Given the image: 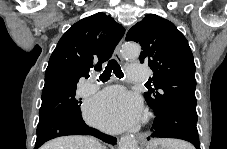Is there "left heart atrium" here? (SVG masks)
Instances as JSON below:
<instances>
[{
  "instance_id": "1",
  "label": "left heart atrium",
  "mask_w": 227,
  "mask_h": 149,
  "mask_svg": "<svg viewBox=\"0 0 227 149\" xmlns=\"http://www.w3.org/2000/svg\"><path fill=\"white\" fill-rule=\"evenodd\" d=\"M141 104L137 97L120 87L100 92L88 104L86 119L102 129L118 132L133 126L139 119Z\"/></svg>"
}]
</instances>
